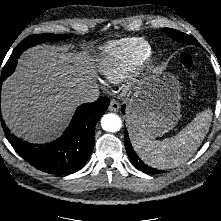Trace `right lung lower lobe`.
<instances>
[{
	"mask_svg": "<svg viewBox=\"0 0 221 221\" xmlns=\"http://www.w3.org/2000/svg\"><path fill=\"white\" fill-rule=\"evenodd\" d=\"M19 47L20 45L15 48L9 60L13 56H20L23 50ZM3 81L0 82V91ZM109 104V98L102 97L93 103L80 105L64 134L45 145L23 142L7 130L5 134L15 151L35 168L55 175L72 174L80 170L90 157L95 144L96 123Z\"/></svg>",
	"mask_w": 221,
	"mask_h": 221,
	"instance_id": "right-lung-lower-lobe-1",
	"label": "right lung lower lobe"
}]
</instances>
